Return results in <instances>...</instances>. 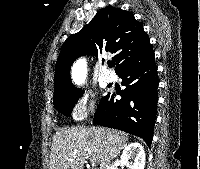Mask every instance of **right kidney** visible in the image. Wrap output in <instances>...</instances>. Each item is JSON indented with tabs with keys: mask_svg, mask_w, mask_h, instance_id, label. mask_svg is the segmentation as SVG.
Listing matches in <instances>:
<instances>
[{
	"mask_svg": "<svg viewBox=\"0 0 200 169\" xmlns=\"http://www.w3.org/2000/svg\"><path fill=\"white\" fill-rule=\"evenodd\" d=\"M120 163L128 169H144L145 151L143 146L138 142L126 146L121 155Z\"/></svg>",
	"mask_w": 200,
	"mask_h": 169,
	"instance_id": "ca27d5eb",
	"label": "right kidney"
}]
</instances>
